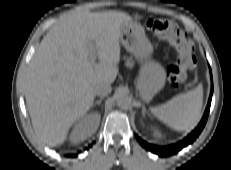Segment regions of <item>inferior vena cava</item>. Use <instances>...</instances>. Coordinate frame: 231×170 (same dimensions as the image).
I'll return each instance as SVG.
<instances>
[{
	"mask_svg": "<svg viewBox=\"0 0 231 170\" xmlns=\"http://www.w3.org/2000/svg\"><path fill=\"white\" fill-rule=\"evenodd\" d=\"M111 90L112 88L110 83L104 81L98 82L94 86V94L100 97L108 95L109 93H111Z\"/></svg>",
	"mask_w": 231,
	"mask_h": 170,
	"instance_id": "602c4592",
	"label": "inferior vena cava"
}]
</instances>
